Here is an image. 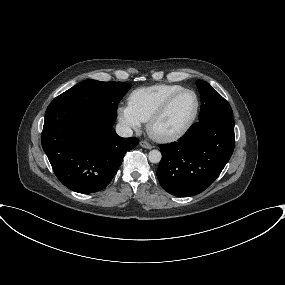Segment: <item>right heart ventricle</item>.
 Listing matches in <instances>:
<instances>
[{"label": "right heart ventricle", "mask_w": 285, "mask_h": 285, "mask_svg": "<svg viewBox=\"0 0 285 285\" xmlns=\"http://www.w3.org/2000/svg\"><path fill=\"white\" fill-rule=\"evenodd\" d=\"M183 89L180 85L158 84L134 90L128 98L130 107L142 122L150 116L173 93Z\"/></svg>", "instance_id": "obj_1"}]
</instances>
